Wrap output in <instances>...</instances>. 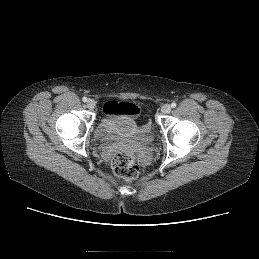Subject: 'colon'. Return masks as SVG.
Listing matches in <instances>:
<instances>
[{
  "instance_id": "1",
  "label": "colon",
  "mask_w": 259,
  "mask_h": 259,
  "mask_svg": "<svg viewBox=\"0 0 259 259\" xmlns=\"http://www.w3.org/2000/svg\"><path fill=\"white\" fill-rule=\"evenodd\" d=\"M123 111L127 114H132L135 112V109L130 104H124ZM112 169L117 176L127 181L135 180L139 174L135 156L123 150L114 153L112 157Z\"/></svg>"
}]
</instances>
